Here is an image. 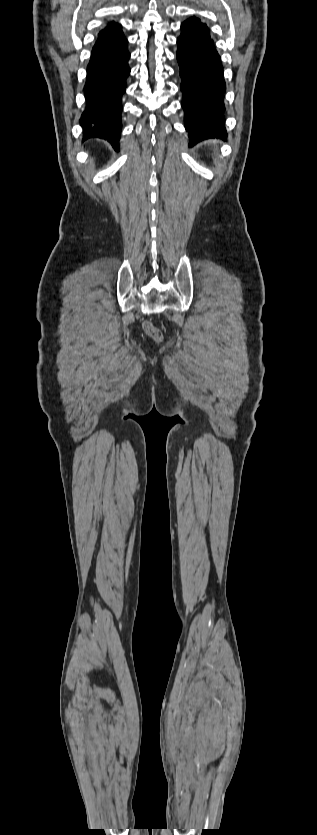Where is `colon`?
Masks as SVG:
<instances>
[{
    "instance_id": "1",
    "label": "colon",
    "mask_w": 317,
    "mask_h": 835,
    "mask_svg": "<svg viewBox=\"0 0 317 835\" xmlns=\"http://www.w3.org/2000/svg\"><path fill=\"white\" fill-rule=\"evenodd\" d=\"M143 330L153 340H155L157 342L162 340L163 336H162L161 331L157 327H155L151 322L145 321L143 323Z\"/></svg>"
}]
</instances>
